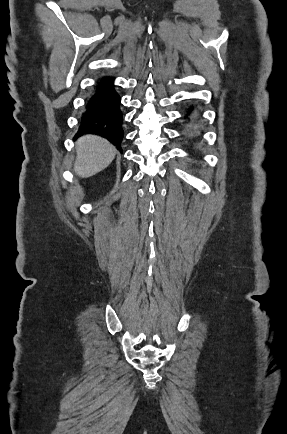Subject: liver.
<instances>
[{"label":"liver","instance_id":"6515ba94","mask_svg":"<svg viewBox=\"0 0 287 434\" xmlns=\"http://www.w3.org/2000/svg\"><path fill=\"white\" fill-rule=\"evenodd\" d=\"M77 157L74 171L80 177H91L104 170L116 155L115 147L107 140L86 135L76 143Z\"/></svg>","mask_w":287,"mask_h":434}]
</instances>
